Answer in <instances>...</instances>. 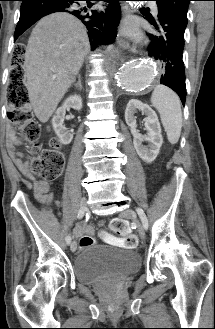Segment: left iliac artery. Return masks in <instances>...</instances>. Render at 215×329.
<instances>
[{
	"label": "left iliac artery",
	"instance_id": "1",
	"mask_svg": "<svg viewBox=\"0 0 215 329\" xmlns=\"http://www.w3.org/2000/svg\"><path fill=\"white\" fill-rule=\"evenodd\" d=\"M136 211H137V213H138V215H139V217L142 221V224H143L144 228L147 230L148 229V220H147V217H146L143 209L142 208H137Z\"/></svg>",
	"mask_w": 215,
	"mask_h": 329
}]
</instances>
